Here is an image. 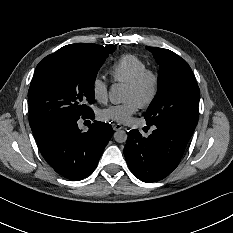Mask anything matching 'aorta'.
Returning a JSON list of instances; mask_svg holds the SVG:
<instances>
[{"mask_svg":"<svg viewBox=\"0 0 233 233\" xmlns=\"http://www.w3.org/2000/svg\"><path fill=\"white\" fill-rule=\"evenodd\" d=\"M109 101L114 104H124L127 102L126 87L121 83H113L108 91ZM114 139L118 143H124L127 140V134L124 130H118L114 133Z\"/></svg>","mask_w":233,"mask_h":233,"instance_id":"1","label":"aorta"}]
</instances>
